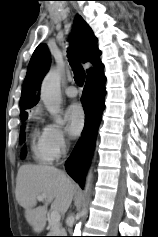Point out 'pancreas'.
Segmentation results:
<instances>
[{
  "label": "pancreas",
  "instance_id": "obj_1",
  "mask_svg": "<svg viewBox=\"0 0 158 237\" xmlns=\"http://www.w3.org/2000/svg\"><path fill=\"white\" fill-rule=\"evenodd\" d=\"M63 231L59 228V227H54L53 230H52V234L53 236H58L60 235V233H62Z\"/></svg>",
  "mask_w": 158,
  "mask_h": 237
}]
</instances>
